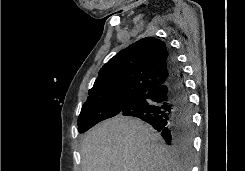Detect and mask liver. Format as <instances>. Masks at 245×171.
<instances>
[{
	"instance_id": "6515ba94",
	"label": "liver",
	"mask_w": 245,
	"mask_h": 171,
	"mask_svg": "<svg viewBox=\"0 0 245 171\" xmlns=\"http://www.w3.org/2000/svg\"><path fill=\"white\" fill-rule=\"evenodd\" d=\"M80 152L82 171H180L160 135L136 118L118 116L93 127Z\"/></svg>"
}]
</instances>
